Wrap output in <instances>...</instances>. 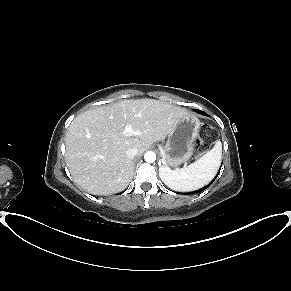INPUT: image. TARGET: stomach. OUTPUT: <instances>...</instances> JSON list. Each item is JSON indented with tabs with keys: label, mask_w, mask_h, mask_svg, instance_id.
<instances>
[{
	"label": "stomach",
	"mask_w": 291,
	"mask_h": 291,
	"mask_svg": "<svg viewBox=\"0 0 291 291\" xmlns=\"http://www.w3.org/2000/svg\"><path fill=\"white\" fill-rule=\"evenodd\" d=\"M199 127L200 121L194 115L183 117L176 123L162 148L164 166H177L191 158Z\"/></svg>",
	"instance_id": "obj_1"
}]
</instances>
